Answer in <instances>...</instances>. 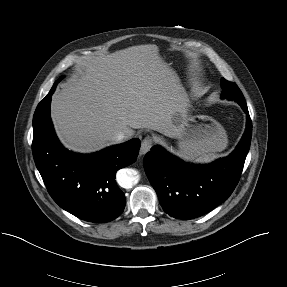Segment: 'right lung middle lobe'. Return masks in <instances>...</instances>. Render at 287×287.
Wrapping results in <instances>:
<instances>
[{
  "mask_svg": "<svg viewBox=\"0 0 287 287\" xmlns=\"http://www.w3.org/2000/svg\"><path fill=\"white\" fill-rule=\"evenodd\" d=\"M62 78H63V77H60V78L54 83L53 87H56L57 84L62 80Z\"/></svg>",
  "mask_w": 287,
  "mask_h": 287,
  "instance_id": "right-lung-middle-lobe-1",
  "label": "right lung middle lobe"
}]
</instances>
